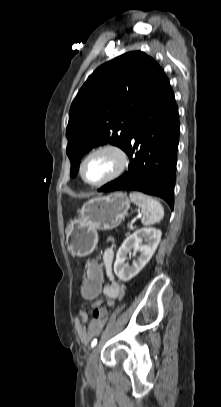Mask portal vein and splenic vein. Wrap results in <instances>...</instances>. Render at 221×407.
Masks as SVG:
<instances>
[{
    "label": "portal vein and splenic vein",
    "mask_w": 221,
    "mask_h": 407,
    "mask_svg": "<svg viewBox=\"0 0 221 407\" xmlns=\"http://www.w3.org/2000/svg\"><path fill=\"white\" fill-rule=\"evenodd\" d=\"M129 228H130V229H133V223H130V224H129Z\"/></svg>",
    "instance_id": "1"
}]
</instances>
